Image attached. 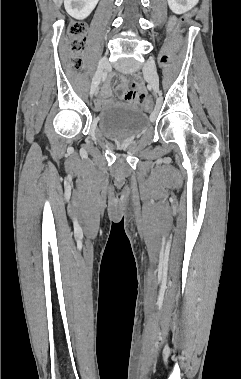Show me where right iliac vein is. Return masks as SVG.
I'll return each mask as SVG.
<instances>
[{"mask_svg": "<svg viewBox=\"0 0 241 379\" xmlns=\"http://www.w3.org/2000/svg\"><path fill=\"white\" fill-rule=\"evenodd\" d=\"M110 67V64H109V61L106 57L102 58L100 61H99V64H98V69L94 75V78H93V81H92V84H91V89H90V96L92 97L94 94H96L97 90H98V86H99V83H100V80L103 76V73L106 72Z\"/></svg>", "mask_w": 241, "mask_h": 379, "instance_id": "obj_1", "label": "right iliac vein"}]
</instances>
